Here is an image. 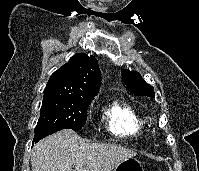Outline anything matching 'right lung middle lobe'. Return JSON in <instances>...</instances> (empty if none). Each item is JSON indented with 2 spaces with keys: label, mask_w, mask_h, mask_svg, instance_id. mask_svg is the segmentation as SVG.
Returning <instances> with one entry per match:
<instances>
[{
  "label": "right lung middle lobe",
  "mask_w": 199,
  "mask_h": 171,
  "mask_svg": "<svg viewBox=\"0 0 199 171\" xmlns=\"http://www.w3.org/2000/svg\"><path fill=\"white\" fill-rule=\"evenodd\" d=\"M92 99H76L44 92L35 136L46 131L80 130L86 123L87 109Z\"/></svg>",
  "instance_id": "obj_1"
}]
</instances>
